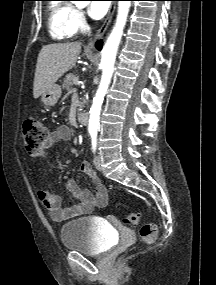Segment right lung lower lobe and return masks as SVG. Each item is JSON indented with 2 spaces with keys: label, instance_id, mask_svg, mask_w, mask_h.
Masks as SVG:
<instances>
[{
  "label": "right lung lower lobe",
  "instance_id": "98d812e1",
  "mask_svg": "<svg viewBox=\"0 0 216 285\" xmlns=\"http://www.w3.org/2000/svg\"><path fill=\"white\" fill-rule=\"evenodd\" d=\"M96 47H97L98 50H101V48H102V42H101V41H97Z\"/></svg>",
  "mask_w": 216,
  "mask_h": 285
}]
</instances>
